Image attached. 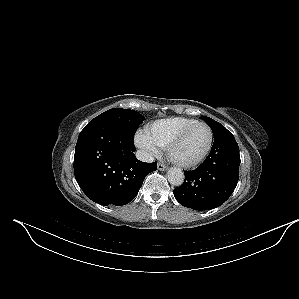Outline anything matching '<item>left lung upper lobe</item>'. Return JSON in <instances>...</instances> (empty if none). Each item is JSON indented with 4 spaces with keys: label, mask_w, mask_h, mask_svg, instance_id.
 <instances>
[{
    "label": "left lung upper lobe",
    "mask_w": 299,
    "mask_h": 299,
    "mask_svg": "<svg viewBox=\"0 0 299 299\" xmlns=\"http://www.w3.org/2000/svg\"><path fill=\"white\" fill-rule=\"evenodd\" d=\"M201 118L210 126V128L213 131V135H216V134L226 130V128L222 124H220L219 122H217L209 117L202 116Z\"/></svg>",
    "instance_id": "1"
}]
</instances>
